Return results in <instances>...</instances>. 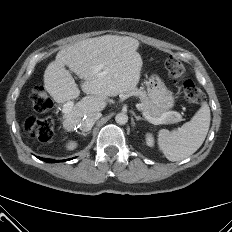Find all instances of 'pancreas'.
I'll list each match as a JSON object with an SVG mask.
<instances>
[{
    "label": "pancreas",
    "instance_id": "obj_1",
    "mask_svg": "<svg viewBox=\"0 0 232 232\" xmlns=\"http://www.w3.org/2000/svg\"><path fill=\"white\" fill-rule=\"evenodd\" d=\"M129 95L136 96L140 99V106L139 110L147 112L151 117L153 118H160L165 115L166 112L162 111L158 106H156L147 96V94L140 90V89H135L132 91L127 92ZM177 121L176 118L170 115L165 116V123H173Z\"/></svg>",
    "mask_w": 232,
    "mask_h": 232
}]
</instances>
